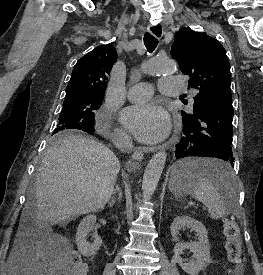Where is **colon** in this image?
Masks as SVG:
<instances>
[{"label":"colon","instance_id":"colon-1","mask_svg":"<svg viewBox=\"0 0 263 275\" xmlns=\"http://www.w3.org/2000/svg\"><path fill=\"white\" fill-rule=\"evenodd\" d=\"M225 249L227 259L232 267V273L240 275L242 265V240L239 226L234 220L224 222ZM85 264L76 251H71L65 259H62L61 273L63 275H83Z\"/></svg>","mask_w":263,"mask_h":275}]
</instances>
